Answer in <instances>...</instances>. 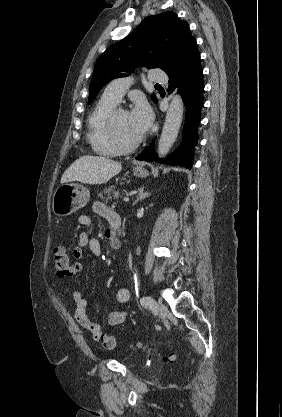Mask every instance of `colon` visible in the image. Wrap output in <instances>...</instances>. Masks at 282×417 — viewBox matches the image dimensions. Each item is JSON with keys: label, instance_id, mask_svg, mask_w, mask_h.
Instances as JSON below:
<instances>
[{"label": "colon", "instance_id": "obj_1", "mask_svg": "<svg viewBox=\"0 0 282 417\" xmlns=\"http://www.w3.org/2000/svg\"><path fill=\"white\" fill-rule=\"evenodd\" d=\"M53 260L57 273L62 277L72 275L77 269V266L70 260L64 247H56L54 249ZM114 341L115 338L113 336L103 340L102 345L107 352H110L114 347Z\"/></svg>", "mask_w": 282, "mask_h": 417}]
</instances>
